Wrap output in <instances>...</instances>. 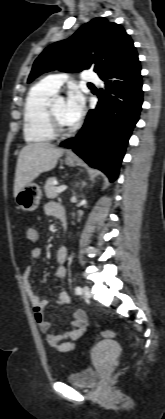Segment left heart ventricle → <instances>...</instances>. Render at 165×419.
<instances>
[{"mask_svg":"<svg viewBox=\"0 0 165 419\" xmlns=\"http://www.w3.org/2000/svg\"><path fill=\"white\" fill-rule=\"evenodd\" d=\"M53 106V110L58 118V120L60 121V123L65 126L68 127L71 125L70 122H68L65 118V103L63 101H56L52 103Z\"/></svg>","mask_w":165,"mask_h":419,"instance_id":"left-heart-ventricle-1","label":"left heart ventricle"}]
</instances>
